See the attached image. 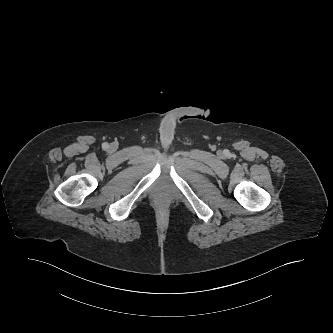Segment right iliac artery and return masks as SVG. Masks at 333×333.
Segmentation results:
<instances>
[{
    "mask_svg": "<svg viewBox=\"0 0 333 333\" xmlns=\"http://www.w3.org/2000/svg\"><path fill=\"white\" fill-rule=\"evenodd\" d=\"M102 147H103V149H107L108 148V143H103Z\"/></svg>",
    "mask_w": 333,
    "mask_h": 333,
    "instance_id": "1",
    "label": "right iliac artery"
}]
</instances>
